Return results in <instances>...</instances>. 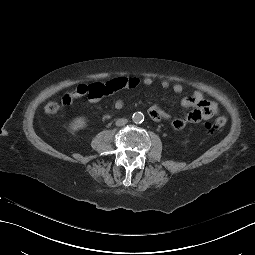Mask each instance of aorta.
I'll use <instances>...</instances> for the list:
<instances>
[{
  "mask_svg": "<svg viewBox=\"0 0 255 255\" xmlns=\"http://www.w3.org/2000/svg\"><path fill=\"white\" fill-rule=\"evenodd\" d=\"M132 120L136 124H140L144 121V115L141 112H135L132 116Z\"/></svg>",
  "mask_w": 255,
  "mask_h": 255,
  "instance_id": "762f6f07",
  "label": "aorta"
}]
</instances>
